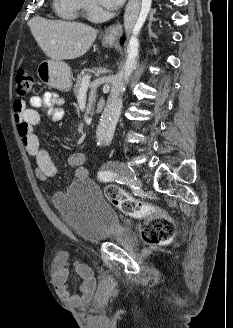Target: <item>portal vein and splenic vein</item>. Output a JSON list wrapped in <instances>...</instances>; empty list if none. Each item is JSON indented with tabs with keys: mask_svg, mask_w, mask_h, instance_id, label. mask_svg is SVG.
I'll return each instance as SVG.
<instances>
[{
	"mask_svg": "<svg viewBox=\"0 0 233 328\" xmlns=\"http://www.w3.org/2000/svg\"><path fill=\"white\" fill-rule=\"evenodd\" d=\"M89 83H90V77L89 76H85L82 80V84H81V87H80V90H87L88 89V86H89Z\"/></svg>",
	"mask_w": 233,
	"mask_h": 328,
	"instance_id": "18ae733b",
	"label": "portal vein and splenic vein"
}]
</instances>
